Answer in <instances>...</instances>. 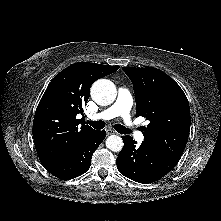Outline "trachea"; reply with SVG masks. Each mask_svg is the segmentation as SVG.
<instances>
[{"label":"trachea","mask_w":221,"mask_h":221,"mask_svg":"<svg viewBox=\"0 0 221 221\" xmlns=\"http://www.w3.org/2000/svg\"><path fill=\"white\" fill-rule=\"evenodd\" d=\"M88 123L94 129H103L105 127V123L103 121H88ZM114 128L117 132H119L121 134H128L130 132L126 127H124L120 124L114 125Z\"/></svg>","instance_id":"3493384b"}]
</instances>
